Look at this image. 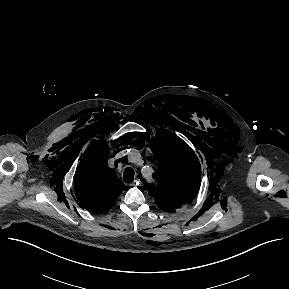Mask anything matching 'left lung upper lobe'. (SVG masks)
Instances as JSON below:
<instances>
[{"label": "left lung upper lobe", "mask_w": 289, "mask_h": 289, "mask_svg": "<svg viewBox=\"0 0 289 289\" xmlns=\"http://www.w3.org/2000/svg\"><path fill=\"white\" fill-rule=\"evenodd\" d=\"M156 164V187L146 184L158 207L165 212H175L195 198L201 181L200 163L189 146L171 132L158 133L151 140ZM145 188V186H144Z\"/></svg>", "instance_id": "left-lung-upper-lobe-1"}]
</instances>
